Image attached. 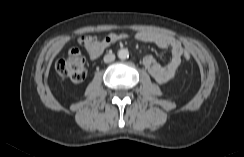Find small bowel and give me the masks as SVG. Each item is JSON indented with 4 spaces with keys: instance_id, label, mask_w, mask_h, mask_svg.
<instances>
[{
    "instance_id": "c3829d8e",
    "label": "small bowel",
    "mask_w": 244,
    "mask_h": 157,
    "mask_svg": "<svg viewBox=\"0 0 244 157\" xmlns=\"http://www.w3.org/2000/svg\"><path fill=\"white\" fill-rule=\"evenodd\" d=\"M110 35L115 37L114 42L126 38V35L123 33ZM135 38L138 41L152 43L160 48L170 50V58L165 65L160 64L151 55L144 57L143 64L147 68L152 78L158 83L164 84L172 80L181 64V58L183 55L181 43L171 36L153 31L137 32L135 34ZM79 43L85 48L91 59H97L100 57L104 49L107 47L100 44L96 37L93 36H82L79 38Z\"/></svg>"
}]
</instances>
